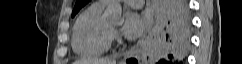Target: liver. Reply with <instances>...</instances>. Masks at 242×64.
I'll return each instance as SVG.
<instances>
[{
  "instance_id": "obj_1",
  "label": "liver",
  "mask_w": 242,
  "mask_h": 64,
  "mask_svg": "<svg viewBox=\"0 0 242 64\" xmlns=\"http://www.w3.org/2000/svg\"><path fill=\"white\" fill-rule=\"evenodd\" d=\"M73 64H116V61L110 59H83L75 61Z\"/></svg>"
}]
</instances>
